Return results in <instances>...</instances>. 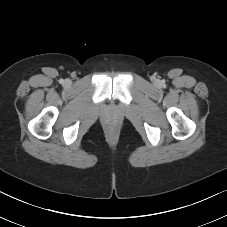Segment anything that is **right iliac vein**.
<instances>
[{
  "instance_id": "1",
  "label": "right iliac vein",
  "mask_w": 227,
  "mask_h": 227,
  "mask_svg": "<svg viewBox=\"0 0 227 227\" xmlns=\"http://www.w3.org/2000/svg\"><path fill=\"white\" fill-rule=\"evenodd\" d=\"M69 83V81H66V84H68Z\"/></svg>"
}]
</instances>
